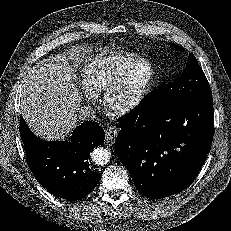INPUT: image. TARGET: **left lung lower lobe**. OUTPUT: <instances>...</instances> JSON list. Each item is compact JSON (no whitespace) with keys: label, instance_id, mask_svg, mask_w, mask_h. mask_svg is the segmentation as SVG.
<instances>
[{"label":"left lung lower lobe","instance_id":"obj_1","mask_svg":"<svg viewBox=\"0 0 231 231\" xmlns=\"http://www.w3.org/2000/svg\"><path fill=\"white\" fill-rule=\"evenodd\" d=\"M115 152L143 196L160 199L186 189L210 151L212 97L150 111L141 103L119 120Z\"/></svg>","mask_w":231,"mask_h":231}]
</instances>
